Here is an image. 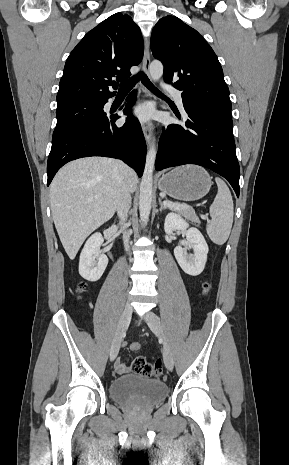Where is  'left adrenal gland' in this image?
Returning a JSON list of instances; mask_svg holds the SVG:
<instances>
[{
    "label": "left adrenal gland",
    "instance_id": "left-adrenal-gland-1",
    "mask_svg": "<svg viewBox=\"0 0 289 465\" xmlns=\"http://www.w3.org/2000/svg\"><path fill=\"white\" fill-rule=\"evenodd\" d=\"M159 204H160V208H159L160 211L166 209V206L163 205L162 200L160 198H159Z\"/></svg>",
    "mask_w": 289,
    "mask_h": 465
}]
</instances>
